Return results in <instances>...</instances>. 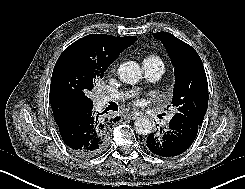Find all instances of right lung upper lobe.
<instances>
[{"label":"right lung upper lobe","mask_w":245,"mask_h":189,"mask_svg":"<svg viewBox=\"0 0 245 189\" xmlns=\"http://www.w3.org/2000/svg\"><path fill=\"white\" fill-rule=\"evenodd\" d=\"M136 39L135 36L90 34L72 43L62 52L54 67L50 87V102L56 123L89 107L78 106L69 96L64 85L69 72L86 65L108 68Z\"/></svg>","instance_id":"right-lung-upper-lobe-1"}]
</instances>
